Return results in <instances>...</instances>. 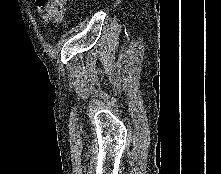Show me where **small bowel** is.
I'll use <instances>...</instances> for the list:
<instances>
[{"label": "small bowel", "mask_w": 221, "mask_h": 174, "mask_svg": "<svg viewBox=\"0 0 221 174\" xmlns=\"http://www.w3.org/2000/svg\"><path fill=\"white\" fill-rule=\"evenodd\" d=\"M37 13H38V15H39V18H40L42 21H44L45 23H47V20L45 19V16H44V14H43V11H42L39 7H37Z\"/></svg>", "instance_id": "small-bowel-1"}]
</instances>
